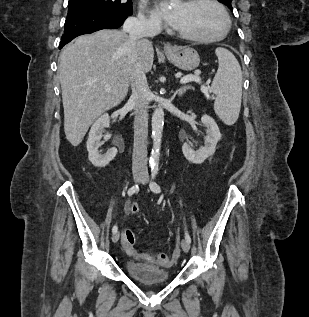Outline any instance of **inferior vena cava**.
I'll return each instance as SVG.
<instances>
[{"mask_svg": "<svg viewBox=\"0 0 309 317\" xmlns=\"http://www.w3.org/2000/svg\"><path fill=\"white\" fill-rule=\"evenodd\" d=\"M159 30L158 23L139 20L135 17L127 18L123 25V31L129 34L132 43H136L143 37H153ZM129 80L132 88L130 102L133 104L135 113L132 168L135 172H145L147 170L148 103L151 92L136 51L132 52Z\"/></svg>", "mask_w": 309, "mask_h": 317, "instance_id": "1", "label": "inferior vena cava"}]
</instances>
